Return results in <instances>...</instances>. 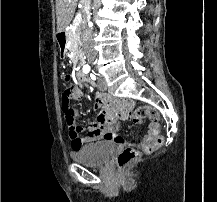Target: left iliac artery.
I'll return each instance as SVG.
<instances>
[{"instance_id":"1","label":"left iliac artery","mask_w":217,"mask_h":202,"mask_svg":"<svg viewBox=\"0 0 217 202\" xmlns=\"http://www.w3.org/2000/svg\"><path fill=\"white\" fill-rule=\"evenodd\" d=\"M91 78H92L93 80H96L95 75H92V74H91Z\"/></svg>"}]
</instances>
